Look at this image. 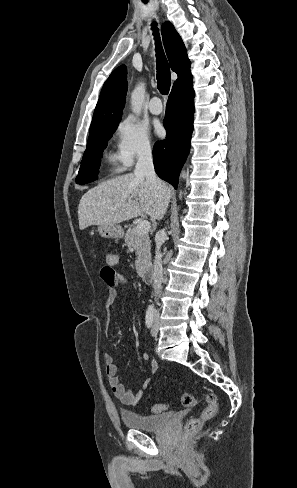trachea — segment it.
I'll return each mask as SVG.
<instances>
[{"mask_svg": "<svg viewBox=\"0 0 297 488\" xmlns=\"http://www.w3.org/2000/svg\"><path fill=\"white\" fill-rule=\"evenodd\" d=\"M156 23H153L152 29L154 30L155 44H156V58H157V88L161 94H168L171 85V75L168 61L165 57L158 28L155 27Z\"/></svg>", "mask_w": 297, "mask_h": 488, "instance_id": "trachea-1", "label": "trachea"}]
</instances>
